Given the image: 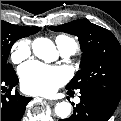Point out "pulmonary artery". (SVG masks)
I'll list each match as a JSON object with an SVG mask.
<instances>
[{
    "label": "pulmonary artery",
    "mask_w": 121,
    "mask_h": 121,
    "mask_svg": "<svg viewBox=\"0 0 121 121\" xmlns=\"http://www.w3.org/2000/svg\"><path fill=\"white\" fill-rule=\"evenodd\" d=\"M59 51L63 57H69L76 53L77 45L76 43L65 44L59 47ZM77 102H79V100H77Z\"/></svg>",
    "instance_id": "e3ab8cb5"
}]
</instances>
